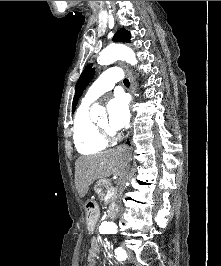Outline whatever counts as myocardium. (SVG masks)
Segmentation results:
<instances>
[{
  "mask_svg": "<svg viewBox=\"0 0 221 266\" xmlns=\"http://www.w3.org/2000/svg\"><path fill=\"white\" fill-rule=\"evenodd\" d=\"M99 130L101 131L102 135L105 139L111 140L115 136V133L109 129V127L101 126L100 124H97Z\"/></svg>",
  "mask_w": 221,
  "mask_h": 266,
  "instance_id": "1",
  "label": "myocardium"
}]
</instances>
